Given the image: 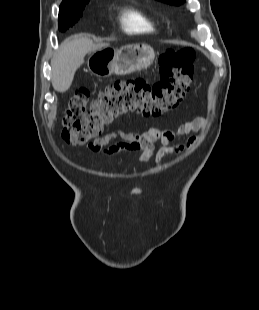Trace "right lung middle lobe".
Masks as SVG:
<instances>
[{
  "label": "right lung middle lobe",
  "mask_w": 259,
  "mask_h": 310,
  "mask_svg": "<svg viewBox=\"0 0 259 310\" xmlns=\"http://www.w3.org/2000/svg\"><path fill=\"white\" fill-rule=\"evenodd\" d=\"M89 0L80 2V4L76 5L75 7L68 8V9H59V30L64 32L69 27L73 26L78 19L82 16V10L85 7V4L88 3Z\"/></svg>",
  "instance_id": "1"
}]
</instances>
